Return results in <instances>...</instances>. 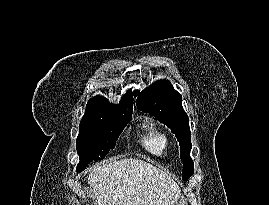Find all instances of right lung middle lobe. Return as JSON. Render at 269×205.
I'll return each instance as SVG.
<instances>
[{
    "instance_id": "1",
    "label": "right lung middle lobe",
    "mask_w": 269,
    "mask_h": 205,
    "mask_svg": "<svg viewBox=\"0 0 269 205\" xmlns=\"http://www.w3.org/2000/svg\"><path fill=\"white\" fill-rule=\"evenodd\" d=\"M130 120L131 116L82 118L76 140L80 158L77 172L83 171L93 159L98 161L114 149L119 135Z\"/></svg>"
}]
</instances>
